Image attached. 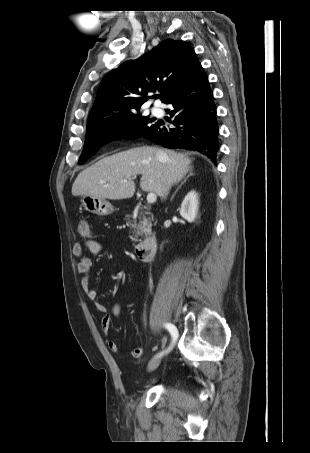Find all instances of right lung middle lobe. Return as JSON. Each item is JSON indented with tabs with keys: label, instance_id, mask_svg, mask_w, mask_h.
<instances>
[{
	"label": "right lung middle lobe",
	"instance_id": "right-lung-middle-lobe-1",
	"mask_svg": "<svg viewBox=\"0 0 310 453\" xmlns=\"http://www.w3.org/2000/svg\"><path fill=\"white\" fill-rule=\"evenodd\" d=\"M154 119L142 117L136 112H132L121 117L93 125L86 130V140L79 164L92 156L99 147L114 138L115 136H125L138 138L144 136L153 128Z\"/></svg>",
	"mask_w": 310,
	"mask_h": 453
}]
</instances>
